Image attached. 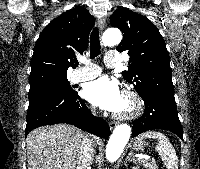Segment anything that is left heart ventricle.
I'll return each mask as SVG.
<instances>
[{
	"mask_svg": "<svg viewBox=\"0 0 200 169\" xmlns=\"http://www.w3.org/2000/svg\"><path fill=\"white\" fill-rule=\"evenodd\" d=\"M130 102L129 100L123 96V100H122V104H121V107L119 109V112H126L127 110H129L130 108Z\"/></svg>",
	"mask_w": 200,
	"mask_h": 169,
	"instance_id": "left-heart-ventricle-1",
	"label": "left heart ventricle"
}]
</instances>
